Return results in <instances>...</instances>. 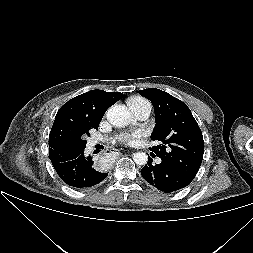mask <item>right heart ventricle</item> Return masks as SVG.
<instances>
[{
    "instance_id": "right-heart-ventricle-1",
    "label": "right heart ventricle",
    "mask_w": 253,
    "mask_h": 253,
    "mask_svg": "<svg viewBox=\"0 0 253 253\" xmlns=\"http://www.w3.org/2000/svg\"><path fill=\"white\" fill-rule=\"evenodd\" d=\"M127 103L131 105H138V104H144V103H149V102L142 97L134 96V97L129 98Z\"/></svg>"
}]
</instances>
